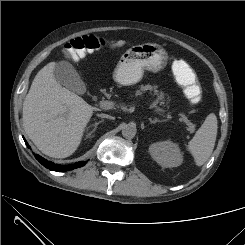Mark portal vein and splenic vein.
Here are the masks:
<instances>
[{
    "label": "portal vein and splenic vein",
    "mask_w": 245,
    "mask_h": 245,
    "mask_svg": "<svg viewBox=\"0 0 245 245\" xmlns=\"http://www.w3.org/2000/svg\"><path fill=\"white\" fill-rule=\"evenodd\" d=\"M100 106H101L103 109L108 110V109L114 108L115 103L112 102V101H107V100H106V101H101V102H100ZM153 107H154L158 112L167 113V114L170 113L168 110L163 109V108H161V107H159V106H157V105H153ZM181 120H182L183 122L186 123V125L191 129V131L194 130L195 125H194L193 123H191V122L187 119V117L182 116V117H181Z\"/></svg>",
    "instance_id": "18ae733b"
}]
</instances>
